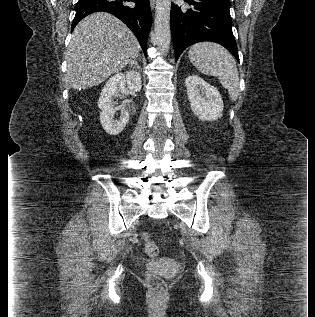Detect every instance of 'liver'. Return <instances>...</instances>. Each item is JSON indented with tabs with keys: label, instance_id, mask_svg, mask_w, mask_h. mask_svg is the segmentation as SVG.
I'll return each mask as SVG.
<instances>
[{
	"label": "liver",
	"instance_id": "1",
	"mask_svg": "<svg viewBox=\"0 0 315 317\" xmlns=\"http://www.w3.org/2000/svg\"><path fill=\"white\" fill-rule=\"evenodd\" d=\"M138 52L139 43L124 23L108 13L91 14L76 26L66 50V82L73 89L96 86Z\"/></svg>",
	"mask_w": 315,
	"mask_h": 317
}]
</instances>
